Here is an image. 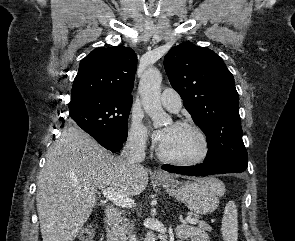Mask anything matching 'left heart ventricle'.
Listing matches in <instances>:
<instances>
[{
	"label": "left heart ventricle",
	"mask_w": 295,
	"mask_h": 241,
	"mask_svg": "<svg viewBox=\"0 0 295 241\" xmlns=\"http://www.w3.org/2000/svg\"><path fill=\"white\" fill-rule=\"evenodd\" d=\"M166 129L170 131V135L161 145L164 154L182 160L192 159L199 155L201 142L193 130L176 126H168Z\"/></svg>",
	"instance_id": "obj_1"
}]
</instances>
